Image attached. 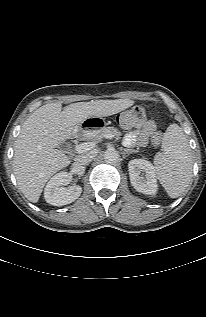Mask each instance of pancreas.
Masks as SVG:
<instances>
[{"instance_id":"cf45deb5","label":"pancreas","mask_w":206,"mask_h":317,"mask_svg":"<svg viewBox=\"0 0 206 317\" xmlns=\"http://www.w3.org/2000/svg\"><path fill=\"white\" fill-rule=\"evenodd\" d=\"M107 134L109 135H113V137H115L117 140L120 138L121 136V132L114 127H105L99 131L94 132L93 134V140L94 141H100L104 136H106Z\"/></svg>"}]
</instances>
